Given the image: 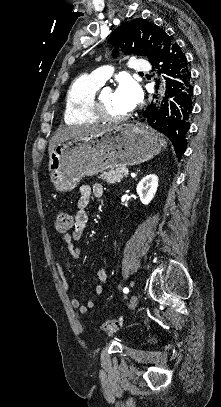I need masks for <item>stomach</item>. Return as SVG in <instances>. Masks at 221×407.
<instances>
[{
    "label": "stomach",
    "mask_w": 221,
    "mask_h": 407,
    "mask_svg": "<svg viewBox=\"0 0 221 407\" xmlns=\"http://www.w3.org/2000/svg\"><path fill=\"white\" fill-rule=\"evenodd\" d=\"M165 147V139L148 126L119 125L56 145L49 155V175L57 191L68 192L85 176L146 162Z\"/></svg>",
    "instance_id": "0dacf381"
}]
</instances>
